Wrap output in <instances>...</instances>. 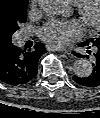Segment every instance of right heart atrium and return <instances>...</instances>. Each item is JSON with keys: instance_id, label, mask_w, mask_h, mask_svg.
Masks as SVG:
<instances>
[{"instance_id": "d8ad5b80", "label": "right heart atrium", "mask_w": 100, "mask_h": 118, "mask_svg": "<svg viewBox=\"0 0 100 118\" xmlns=\"http://www.w3.org/2000/svg\"><path fill=\"white\" fill-rule=\"evenodd\" d=\"M38 2V0H32V4L35 5Z\"/></svg>"}]
</instances>
